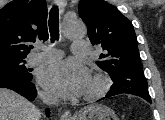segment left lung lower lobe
I'll return each instance as SVG.
<instances>
[{
  "mask_svg": "<svg viewBox=\"0 0 165 120\" xmlns=\"http://www.w3.org/2000/svg\"><path fill=\"white\" fill-rule=\"evenodd\" d=\"M106 97H110V96H108V95H107ZM102 99H104V98H102ZM102 99H101V100H102ZM148 102H150V103H151V101H148Z\"/></svg>",
  "mask_w": 165,
  "mask_h": 120,
  "instance_id": "1",
  "label": "left lung lower lobe"
}]
</instances>
